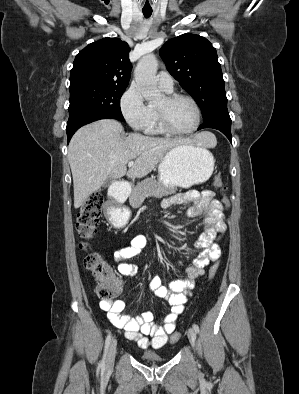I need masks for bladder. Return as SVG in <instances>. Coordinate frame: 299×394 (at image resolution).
Wrapping results in <instances>:
<instances>
[{"label": "bladder", "instance_id": "obj_1", "mask_svg": "<svg viewBox=\"0 0 299 394\" xmlns=\"http://www.w3.org/2000/svg\"><path fill=\"white\" fill-rule=\"evenodd\" d=\"M140 358L148 364H159L165 361L164 357L154 352H144Z\"/></svg>", "mask_w": 299, "mask_h": 394}]
</instances>
